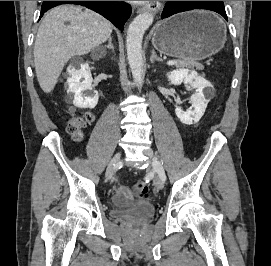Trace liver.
<instances>
[{"instance_id":"obj_1","label":"liver","mask_w":271,"mask_h":266,"mask_svg":"<svg viewBox=\"0 0 271 266\" xmlns=\"http://www.w3.org/2000/svg\"><path fill=\"white\" fill-rule=\"evenodd\" d=\"M111 33L112 24L92 10L73 5L51 9L42 20L34 45L41 89L51 92L69 59L89 53L106 42Z\"/></svg>"}]
</instances>
